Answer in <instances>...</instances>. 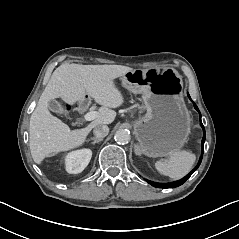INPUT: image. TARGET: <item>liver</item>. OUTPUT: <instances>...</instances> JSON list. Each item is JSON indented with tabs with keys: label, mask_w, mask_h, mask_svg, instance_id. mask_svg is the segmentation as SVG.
<instances>
[{
	"label": "liver",
	"mask_w": 239,
	"mask_h": 239,
	"mask_svg": "<svg viewBox=\"0 0 239 239\" xmlns=\"http://www.w3.org/2000/svg\"><path fill=\"white\" fill-rule=\"evenodd\" d=\"M134 69L125 65L62 64L53 72L42 92L29 123V147L37 165L55 154L82 147L98 125L112 124L117 113L113 109L125 104V96L116 79ZM86 95L100 105L98 114L86 127L71 130L48 110V102L61 98L69 106L85 101Z\"/></svg>",
	"instance_id": "liver-1"
}]
</instances>
